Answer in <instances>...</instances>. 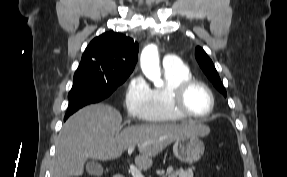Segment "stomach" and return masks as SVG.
I'll list each match as a JSON object with an SVG mask.
<instances>
[{"mask_svg":"<svg viewBox=\"0 0 287 177\" xmlns=\"http://www.w3.org/2000/svg\"><path fill=\"white\" fill-rule=\"evenodd\" d=\"M205 146L200 136L186 135L178 138L173 145L174 155L182 162L192 164L204 154Z\"/></svg>","mask_w":287,"mask_h":177,"instance_id":"obj_1","label":"stomach"}]
</instances>
